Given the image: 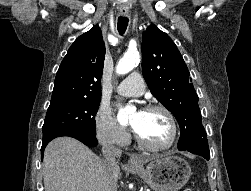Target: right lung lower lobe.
Wrapping results in <instances>:
<instances>
[{"label": "right lung lower lobe", "instance_id": "right-lung-lower-lobe-1", "mask_svg": "<svg viewBox=\"0 0 251 191\" xmlns=\"http://www.w3.org/2000/svg\"><path fill=\"white\" fill-rule=\"evenodd\" d=\"M60 136L73 137V138L81 141L85 145L90 146V147H95L98 144V141L96 139V135L88 134V133H85L82 131H77V130H67V131L59 132V133L53 135L52 137L42 141V147H41V157L42 158H43L44 149L47 146V144L52 139H54L56 137H60Z\"/></svg>", "mask_w": 251, "mask_h": 191}]
</instances>
